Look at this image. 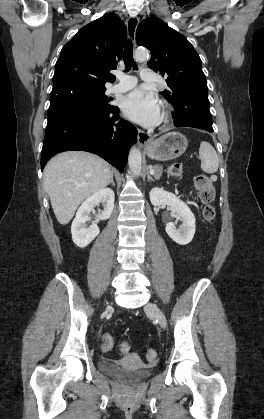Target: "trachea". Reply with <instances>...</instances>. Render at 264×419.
Returning <instances> with one entry per match:
<instances>
[{
    "label": "trachea",
    "instance_id": "trachea-1",
    "mask_svg": "<svg viewBox=\"0 0 264 419\" xmlns=\"http://www.w3.org/2000/svg\"><path fill=\"white\" fill-rule=\"evenodd\" d=\"M123 58H124V64L127 71H129L131 67L137 69V66L133 60V44L130 39H128L126 42L124 53H123Z\"/></svg>",
    "mask_w": 264,
    "mask_h": 419
}]
</instances>
